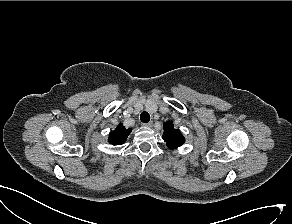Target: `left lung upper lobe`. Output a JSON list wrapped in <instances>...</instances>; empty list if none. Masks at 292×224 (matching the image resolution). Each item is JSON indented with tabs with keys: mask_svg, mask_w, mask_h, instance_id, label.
<instances>
[{
	"mask_svg": "<svg viewBox=\"0 0 292 224\" xmlns=\"http://www.w3.org/2000/svg\"><path fill=\"white\" fill-rule=\"evenodd\" d=\"M163 139L170 149H176L185 142L184 136L179 130L174 128L172 121H168L164 124Z\"/></svg>",
	"mask_w": 292,
	"mask_h": 224,
	"instance_id": "1",
	"label": "left lung upper lobe"
}]
</instances>
